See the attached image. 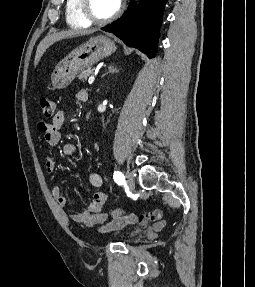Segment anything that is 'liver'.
I'll return each instance as SVG.
<instances>
[{"instance_id": "liver-1", "label": "liver", "mask_w": 255, "mask_h": 287, "mask_svg": "<svg viewBox=\"0 0 255 287\" xmlns=\"http://www.w3.org/2000/svg\"><path fill=\"white\" fill-rule=\"evenodd\" d=\"M96 30H68V32H58V34H48L45 36L44 40L40 42L39 46H37L34 66H38L44 52H46L49 46L55 44V42H59V40H66V38H76V36H87V34H93Z\"/></svg>"}]
</instances>
